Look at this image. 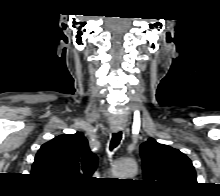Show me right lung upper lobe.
I'll list each match as a JSON object with an SVG mask.
<instances>
[{"instance_id": "right-lung-upper-lobe-1", "label": "right lung upper lobe", "mask_w": 220, "mask_h": 196, "mask_svg": "<svg viewBox=\"0 0 220 196\" xmlns=\"http://www.w3.org/2000/svg\"><path fill=\"white\" fill-rule=\"evenodd\" d=\"M97 166V157L83 133L60 135L43 144L36 154L31 174L63 188L80 185Z\"/></svg>"}]
</instances>
